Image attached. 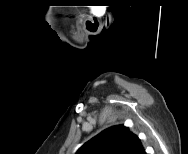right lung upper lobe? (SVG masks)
Listing matches in <instances>:
<instances>
[{
	"label": "right lung upper lobe",
	"mask_w": 188,
	"mask_h": 154,
	"mask_svg": "<svg viewBox=\"0 0 188 154\" xmlns=\"http://www.w3.org/2000/svg\"><path fill=\"white\" fill-rule=\"evenodd\" d=\"M76 154H146L139 138L123 126L108 128L85 143Z\"/></svg>",
	"instance_id": "right-lung-upper-lobe-1"
}]
</instances>
